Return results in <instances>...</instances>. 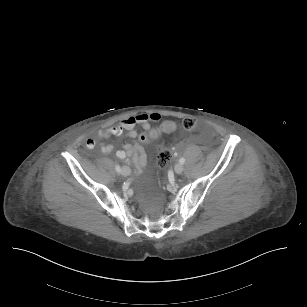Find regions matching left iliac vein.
<instances>
[{
  "instance_id": "obj_1",
  "label": "left iliac vein",
  "mask_w": 307,
  "mask_h": 307,
  "mask_svg": "<svg viewBox=\"0 0 307 307\" xmlns=\"http://www.w3.org/2000/svg\"><path fill=\"white\" fill-rule=\"evenodd\" d=\"M174 170L177 174H181L184 170V166L181 163H178L175 165Z\"/></svg>"
}]
</instances>
